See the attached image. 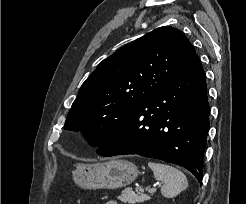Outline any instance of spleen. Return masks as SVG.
<instances>
[{"instance_id":"obj_1","label":"spleen","mask_w":246,"mask_h":204,"mask_svg":"<svg viewBox=\"0 0 246 204\" xmlns=\"http://www.w3.org/2000/svg\"><path fill=\"white\" fill-rule=\"evenodd\" d=\"M148 166L152 169L155 179L163 182L161 193L164 197H175L187 189V178L179 169L171 165L152 161L148 163Z\"/></svg>"}]
</instances>
